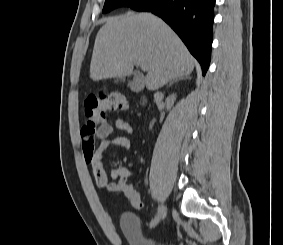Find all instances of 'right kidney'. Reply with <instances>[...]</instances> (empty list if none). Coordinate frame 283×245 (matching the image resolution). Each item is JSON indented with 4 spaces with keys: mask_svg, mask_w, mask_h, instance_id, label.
I'll return each mask as SVG.
<instances>
[{
    "mask_svg": "<svg viewBox=\"0 0 283 245\" xmlns=\"http://www.w3.org/2000/svg\"><path fill=\"white\" fill-rule=\"evenodd\" d=\"M175 99H176V95H175V94L170 95V96L166 99V107H167V108H170V107L173 105Z\"/></svg>",
    "mask_w": 283,
    "mask_h": 245,
    "instance_id": "right-kidney-1",
    "label": "right kidney"
}]
</instances>
